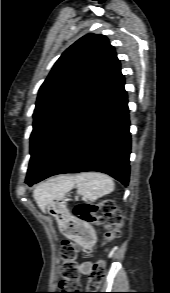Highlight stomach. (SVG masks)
I'll return each mask as SVG.
<instances>
[{"mask_svg":"<svg viewBox=\"0 0 170 293\" xmlns=\"http://www.w3.org/2000/svg\"><path fill=\"white\" fill-rule=\"evenodd\" d=\"M46 209L48 212H50L58 221L59 225H65L66 222L71 218L69 211L66 207V202L64 200L63 195L58 194L55 197H52L48 200L46 204ZM84 231H87L90 233L91 238L94 236V232L91 227H85ZM66 235L71 237L72 239L81 242L84 245L89 244V241H87L85 238H83L77 230H67L66 228H63Z\"/></svg>","mask_w":170,"mask_h":293,"instance_id":"obj_1","label":"stomach"}]
</instances>
